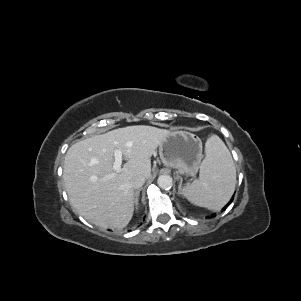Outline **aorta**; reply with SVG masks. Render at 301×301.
Wrapping results in <instances>:
<instances>
[{
  "label": "aorta",
  "mask_w": 301,
  "mask_h": 301,
  "mask_svg": "<svg viewBox=\"0 0 301 301\" xmlns=\"http://www.w3.org/2000/svg\"><path fill=\"white\" fill-rule=\"evenodd\" d=\"M157 184L161 189L169 190L173 185V179L169 175H160Z\"/></svg>",
  "instance_id": "obj_1"
}]
</instances>
